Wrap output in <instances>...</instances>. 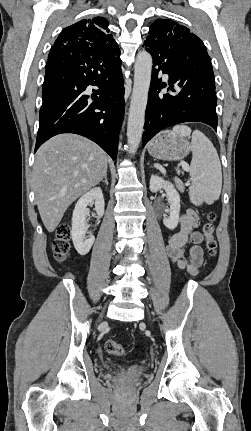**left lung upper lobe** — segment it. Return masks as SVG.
Instances as JSON below:
<instances>
[{"label":"left lung upper lobe","mask_w":251,"mask_h":431,"mask_svg":"<svg viewBox=\"0 0 251 431\" xmlns=\"http://www.w3.org/2000/svg\"><path fill=\"white\" fill-rule=\"evenodd\" d=\"M147 40L158 43L168 49H180L189 54L211 62L203 42L187 27L172 20L158 19L150 26Z\"/></svg>","instance_id":"5c2ea615"}]
</instances>
